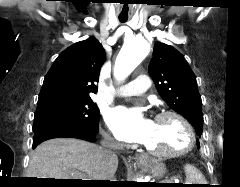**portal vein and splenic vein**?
Segmentation results:
<instances>
[{
    "label": "portal vein and splenic vein",
    "mask_w": 240,
    "mask_h": 187,
    "mask_svg": "<svg viewBox=\"0 0 240 187\" xmlns=\"http://www.w3.org/2000/svg\"><path fill=\"white\" fill-rule=\"evenodd\" d=\"M78 175H79V178H80V179L87 180L86 178H83L84 176H83L82 173H79Z\"/></svg>",
    "instance_id": "obj_1"
}]
</instances>
